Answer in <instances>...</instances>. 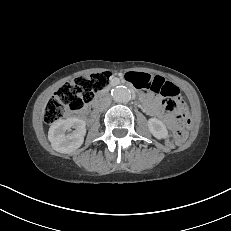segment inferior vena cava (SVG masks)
Returning a JSON list of instances; mask_svg holds the SVG:
<instances>
[{
    "label": "inferior vena cava",
    "instance_id": "obj_1",
    "mask_svg": "<svg viewBox=\"0 0 231 231\" xmlns=\"http://www.w3.org/2000/svg\"><path fill=\"white\" fill-rule=\"evenodd\" d=\"M111 105V97L107 96L103 99V101L101 102V106L100 109L104 110L106 108H108Z\"/></svg>",
    "mask_w": 231,
    "mask_h": 231
}]
</instances>
